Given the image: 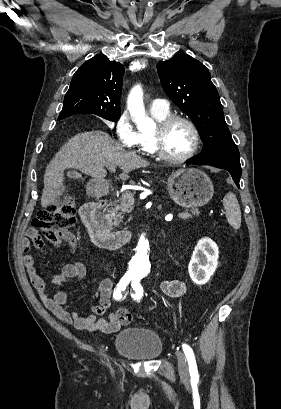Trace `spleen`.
<instances>
[{
  "mask_svg": "<svg viewBox=\"0 0 281 409\" xmlns=\"http://www.w3.org/2000/svg\"><path fill=\"white\" fill-rule=\"evenodd\" d=\"M223 205L229 225H231L233 229H240L242 223L241 209L234 192H227L223 198Z\"/></svg>",
  "mask_w": 281,
  "mask_h": 409,
  "instance_id": "spleen-1",
  "label": "spleen"
}]
</instances>
